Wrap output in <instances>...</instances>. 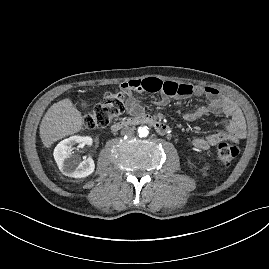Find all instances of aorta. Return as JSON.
<instances>
[{
  "label": "aorta",
  "instance_id": "aorta-1",
  "mask_svg": "<svg viewBox=\"0 0 269 269\" xmlns=\"http://www.w3.org/2000/svg\"><path fill=\"white\" fill-rule=\"evenodd\" d=\"M138 134L140 137H146L149 134V129L147 126L139 127Z\"/></svg>",
  "mask_w": 269,
  "mask_h": 269
}]
</instances>
